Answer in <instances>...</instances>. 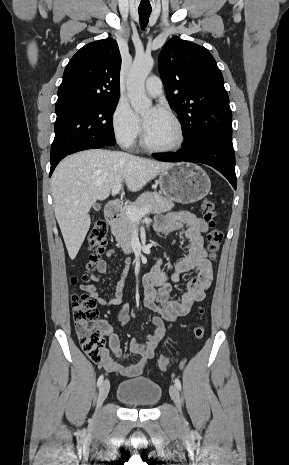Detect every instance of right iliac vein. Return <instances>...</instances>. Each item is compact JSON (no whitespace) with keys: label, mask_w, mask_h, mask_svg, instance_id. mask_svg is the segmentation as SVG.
<instances>
[{"label":"right iliac vein","mask_w":289,"mask_h":465,"mask_svg":"<svg viewBox=\"0 0 289 465\" xmlns=\"http://www.w3.org/2000/svg\"><path fill=\"white\" fill-rule=\"evenodd\" d=\"M109 389H110V383L108 380H105L100 388H99V394H98V400H97V407L99 408L102 403L104 402V400L107 398V395L109 393Z\"/></svg>","instance_id":"1"}]
</instances>
